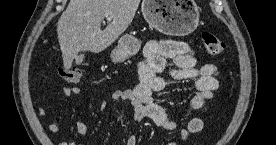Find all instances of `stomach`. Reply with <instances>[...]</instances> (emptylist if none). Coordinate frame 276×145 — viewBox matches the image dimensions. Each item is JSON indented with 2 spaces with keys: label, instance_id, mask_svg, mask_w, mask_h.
<instances>
[{
  "label": "stomach",
  "instance_id": "stomach-1",
  "mask_svg": "<svg viewBox=\"0 0 276 145\" xmlns=\"http://www.w3.org/2000/svg\"><path fill=\"white\" fill-rule=\"evenodd\" d=\"M141 9L149 25L166 35H188L199 23V8L194 0H143ZM139 49L140 41L132 34H125L119 39L111 58L114 62H122Z\"/></svg>",
  "mask_w": 276,
  "mask_h": 145
}]
</instances>
